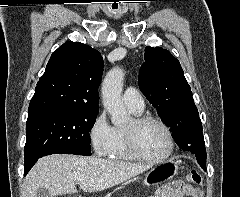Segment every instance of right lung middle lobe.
<instances>
[{"instance_id":"dd1d6c3e","label":"right lung middle lobe","mask_w":240,"mask_h":197,"mask_svg":"<svg viewBox=\"0 0 240 197\" xmlns=\"http://www.w3.org/2000/svg\"><path fill=\"white\" fill-rule=\"evenodd\" d=\"M98 111L44 109L30 112L26 122L24 162L54 154L91 155L90 134Z\"/></svg>"}]
</instances>
